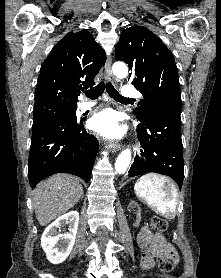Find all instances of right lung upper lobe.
Segmentation results:
<instances>
[{
	"instance_id": "cb5924a9",
	"label": "right lung upper lobe",
	"mask_w": 221,
	"mask_h": 278,
	"mask_svg": "<svg viewBox=\"0 0 221 278\" xmlns=\"http://www.w3.org/2000/svg\"><path fill=\"white\" fill-rule=\"evenodd\" d=\"M106 61L102 47L87 30L69 32L51 50L40 69L35 103L78 102L81 90L94 85Z\"/></svg>"
}]
</instances>
